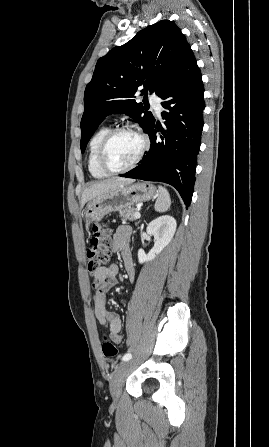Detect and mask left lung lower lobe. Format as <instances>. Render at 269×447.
Listing matches in <instances>:
<instances>
[{"label": "left lung lower lobe", "instance_id": "left-lung-lower-lobe-1", "mask_svg": "<svg viewBox=\"0 0 269 447\" xmlns=\"http://www.w3.org/2000/svg\"><path fill=\"white\" fill-rule=\"evenodd\" d=\"M164 129L152 120L146 133L150 150L142 163L121 177L160 181L175 187L186 206L191 203L197 155L203 130L204 86L191 48L160 96ZM160 131L162 135L157 136Z\"/></svg>", "mask_w": 269, "mask_h": 447}]
</instances>
